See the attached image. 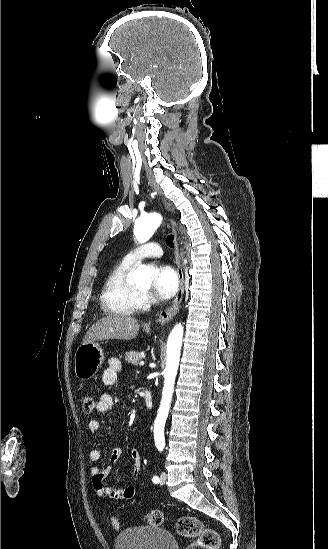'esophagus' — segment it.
Here are the masks:
<instances>
[{
  "label": "esophagus",
  "instance_id": "34e87169",
  "mask_svg": "<svg viewBox=\"0 0 328 549\" xmlns=\"http://www.w3.org/2000/svg\"><path fill=\"white\" fill-rule=\"evenodd\" d=\"M173 232H174V246H175V258H176V264H177V274L179 279V287L176 294V297L174 301L172 302V305L166 309L160 312L157 322L160 323V325H164L169 320L173 319V317L176 315L183 298L184 293V275L181 265V259L179 255V247L177 242V231L175 225H173Z\"/></svg>",
  "mask_w": 328,
  "mask_h": 549
}]
</instances>
